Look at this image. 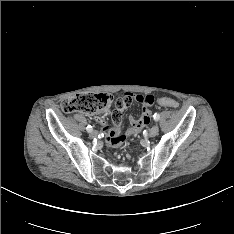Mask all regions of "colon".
Listing matches in <instances>:
<instances>
[{
    "instance_id": "5ec220e1",
    "label": "colon",
    "mask_w": 234,
    "mask_h": 234,
    "mask_svg": "<svg viewBox=\"0 0 234 234\" xmlns=\"http://www.w3.org/2000/svg\"><path fill=\"white\" fill-rule=\"evenodd\" d=\"M159 102L170 108L178 107L177 102L170 98H161ZM111 104L112 97L109 94L81 93L65 100L61 108L64 113L81 112L85 114H105L109 110Z\"/></svg>"
}]
</instances>
